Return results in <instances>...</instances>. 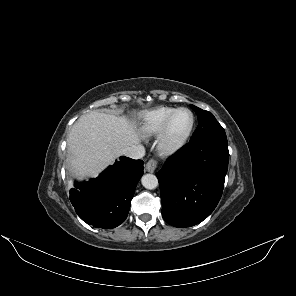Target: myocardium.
Wrapping results in <instances>:
<instances>
[{
    "label": "myocardium",
    "mask_w": 296,
    "mask_h": 296,
    "mask_svg": "<svg viewBox=\"0 0 296 296\" xmlns=\"http://www.w3.org/2000/svg\"><path fill=\"white\" fill-rule=\"evenodd\" d=\"M188 112L191 116V123L186 132L177 139L171 138V127L173 121L179 112ZM195 126V116L187 108H177L168 118L158 137V151L162 156H171L179 152L187 143Z\"/></svg>",
    "instance_id": "f54148a6"
}]
</instances>
